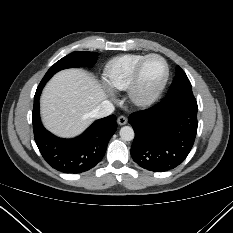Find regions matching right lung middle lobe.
I'll return each mask as SVG.
<instances>
[{"instance_id":"1","label":"right lung middle lobe","mask_w":233,"mask_h":233,"mask_svg":"<svg viewBox=\"0 0 233 233\" xmlns=\"http://www.w3.org/2000/svg\"><path fill=\"white\" fill-rule=\"evenodd\" d=\"M96 52H73L57 61L45 74L39 85L44 86L46 82L58 71L65 68L91 66L97 60Z\"/></svg>"}]
</instances>
